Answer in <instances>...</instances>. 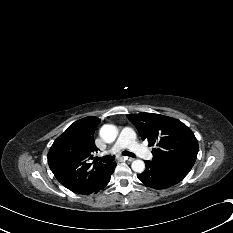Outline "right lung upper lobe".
<instances>
[{
  "label": "right lung upper lobe",
  "instance_id": "obj_1",
  "mask_svg": "<svg viewBox=\"0 0 233 233\" xmlns=\"http://www.w3.org/2000/svg\"><path fill=\"white\" fill-rule=\"evenodd\" d=\"M99 123L95 116L74 122L54 141L47 155L56 179L73 192L89 194L110 167L90 162L97 151L93 134Z\"/></svg>",
  "mask_w": 233,
  "mask_h": 233
}]
</instances>
